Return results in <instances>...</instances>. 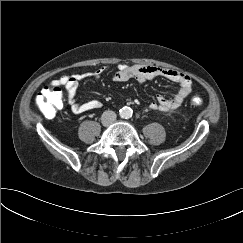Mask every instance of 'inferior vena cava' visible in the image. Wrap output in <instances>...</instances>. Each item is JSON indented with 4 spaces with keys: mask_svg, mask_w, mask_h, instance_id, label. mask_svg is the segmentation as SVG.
I'll list each match as a JSON object with an SVG mask.
<instances>
[{
    "mask_svg": "<svg viewBox=\"0 0 243 243\" xmlns=\"http://www.w3.org/2000/svg\"><path fill=\"white\" fill-rule=\"evenodd\" d=\"M117 118V115L114 111L107 110L103 112L101 116V121L104 126L111 125Z\"/></svg>",
    "mask_w": 243,
    "mask_h": 243,
    "instance_id": "602c4592",
    "label": "inferior vena cava"
}]
</instances>
